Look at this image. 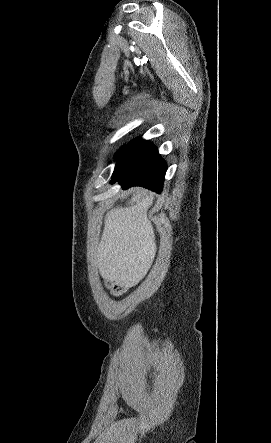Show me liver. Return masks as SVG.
Instances as JSON below:
<instances>
[{
  "instance_id": "6515ba94",
  "label": "liver",
  "mask_w": 271,
  "mask_h": 443,
  "mask_svg": "<svg viewBox=\"0 0 271 443\" xmlns=\"http://www.w3.org/2000/svg\"><path fill=\"white\" fill-rule=\"evenodd\" d=\"M133 192L139 194L140 190L131 188L128 194ZM153 200L150 194L134 206L107 212L96 255L105 279L132 287L149 271L157 251L153 225L147 218Z\"/></svg>"
}]
</instances>
